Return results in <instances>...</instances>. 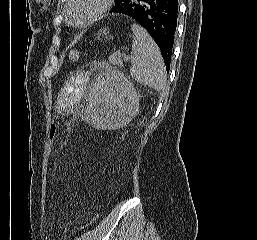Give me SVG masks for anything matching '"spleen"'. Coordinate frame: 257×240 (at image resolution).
<instances>
[{
  "mask_svg": "<svg viewBox=\"0 0 257 240\" xmlns=\"http://www.w3.org/2000/svg\"><path fill=\"white\" fill-rule=\"evenodd\" d=\"M133 43L132 55L134 61L130 75L139 83L161 91L166 86L165 65L161 52L145 29L132 24ZM100 126V125H99Z\"/></svg>",
  "mask_w": 257,
  "mask_h": 240,
  "instance_id": "spleen-1",
  "label": "spleen"
}]
</instances>
